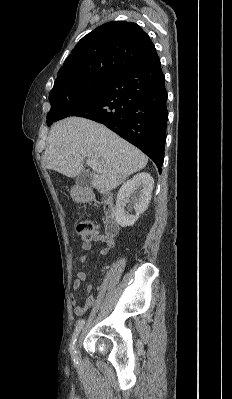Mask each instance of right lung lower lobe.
<instances>
[{"instance_id":"obj_1","label":"right lung lower lobe","mask_w":232,"mask_h":399,"mask_svg":"<svg viewBox=\"0 0 232 399\" xmlns=\"http://www.w3.org/2000/svg\"><path fill=\"white\" fill-rule=\"evenodd\" d=\"M164 82L155 52L110 77L91 99L69 105L55 121L78 116L102 123L143 151L161 172L168 119Z\"/></svg>"}]
</instances>
